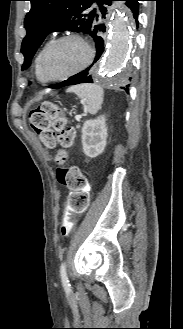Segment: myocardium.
Here are the masks:
<instances>
[{"label":"myocardium","mask_w":183,"mask_h":329,"mask_svg":"<svg viewBox=\"0 0 183 329\" xmlns=\"http://www.w3.org/2000/svg\"><path fill=\"white\" fill-rule=\"evenodd\" d=\"M68 39H76V40H79L80 42H82L86 49H87V58L85 60V62L83 63L82 66H80L79 68H77L76 70H73L69 73H66L64 75H61V76H57V77H50L47 75L46 73V70H45V61H46V58H47V55L49 53V51L55 46L57 45L58 43L62 42V41H65V40H68ZM94 49L93 47L90 45V43L82 36L80 35H77V34H65V35H62V36H59L55 39H53L51 42H49L47 44V46L45 47V49L43 50L42 52V55H41V59H40V72H41V75L42 77L44 78V80L46 82H57V81H62V80H66L70 77H73L79 73H81L82 71H84L92 62L93 58H94Z\"/></svg>","instance_id":"1"}]
</instances>
